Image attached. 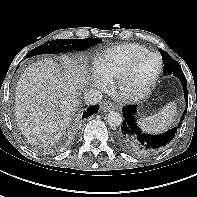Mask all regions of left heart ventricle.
<instances>
[{
  "label": "left heart ventricle",
  "instance_id": "b2bd125f",
  "mask_svg": "<svg viewBox=\"0 0 197 197\" xmlns=\"http://www.w3.org/2000/svg\"><path fill=\"white\" fill-rule=\"evenodd\" d=\"M158 65L159 61L156 56L151 55L145 57L136 66L128 83V87L133 91L142 89L154 76Z\"/></svg>",
  "mask_w": 197,
  "mask_h": 197
}]
</instances>
